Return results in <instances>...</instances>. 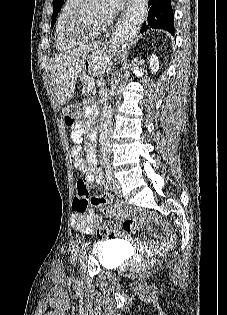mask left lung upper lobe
I'll return each mask as SVG.
<instances>
[{"label":"left lung upper lobe","mask_w":227,"mask_h":315,"mask_svg":"<svg viewBox=\"0 0 227 315\" xmlns=\"http://www.w3.org/2000/svg\"><path fill=\"white\" fill-rule=\"evenodd\" d=\"M64 0H53V15H52V23L51 26L53 27L56 17L61 10Z\"/></svg>","instance_id":"left-lung-upper-lobe-1"}]
</instances>
